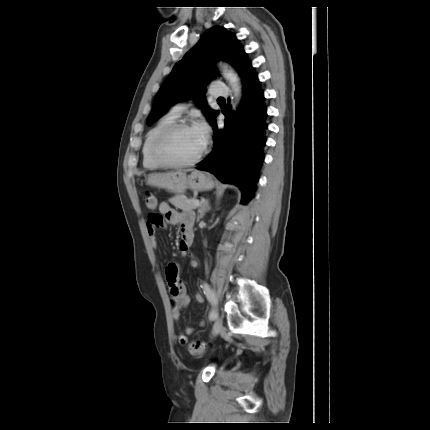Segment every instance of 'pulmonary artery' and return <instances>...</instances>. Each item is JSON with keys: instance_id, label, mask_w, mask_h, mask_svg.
Listing matches in <instances>:
<instances>
[{"instance_id": "1", "label": "pulmonary artery", "mask_w": 430, "mask_h": 430, "mask_svg": "<svg viewBox=\"0 0 430 430\" xmlns=\"http://www.w3.org/2000/svg\"><path fill=\"white\" fill-rule=\"evenodd\" d=\"M211 87V94L214 96L227 97L230 93L229 88L221 82H214ZM187 106L188 104L185 102L177 103L171 108L170 112L178 117L183 111L187 109Z\"/></svg>"}]
</instances>
